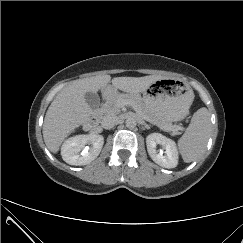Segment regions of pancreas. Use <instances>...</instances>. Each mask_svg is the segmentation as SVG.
<instances>
[{"label":"pancreas","instance_id":"pancreas-1","mask_svg":"<svg viewBox=\"0 0 243 243\" xmlns=\"http://www.w3.org/2000/svg\"><path fill=\"white\" fill-rule=\"evenodd\" d=\"M122 102L131 104L142 117L150 120L153 124L159 126L164 130H171L174 127L171 123L163 122L152 113H150L146 109L142 100L132 95H114L104 103L99 111L101 114H119L121 112Z\"/></svg>","mask_w":243,"mask_h":243}]
</instances>
